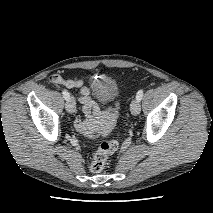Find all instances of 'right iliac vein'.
<instances>
[{"label": "right iliac vein", "mask_w": 213, "mask_h": 213, "mask_svg": "<svg viewBox=\"0 0 213 213\" xmlns=\"http://www.w3.org/2000/svg\"><path fill=\"white\" fill-rule=\"evenodd\" d=\"M65 108H66V111L68 113H74L75 112V109H76V103H75V100L74 98H69L65 104Z\"/></svg>", "instance_id": "obj_1"}]
</instances>
